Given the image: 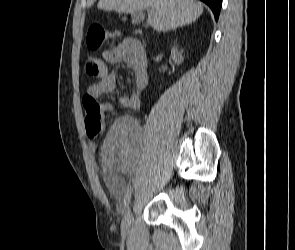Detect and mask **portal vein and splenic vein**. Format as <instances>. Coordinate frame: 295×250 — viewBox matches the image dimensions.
<instances>
[{
  "label": "portal vein and splenic vein",
  "mask_w": 295,
  "mask_h": 250,
  "mask_svg": "<svg viewBox=\"0 0 295 250\" xmlns=\"http://www.w3.org/2000/svg\"><path fill=\"white\" fill-rule=\"evenodd\" d=\"M148 9H149V12H150V13H152V12H153V9H152V8H148Z\"/></svg>",
  "instance_id": "portal-vein-and-splenic-vein-1"
}]
</instances>
